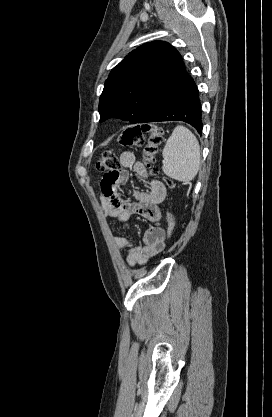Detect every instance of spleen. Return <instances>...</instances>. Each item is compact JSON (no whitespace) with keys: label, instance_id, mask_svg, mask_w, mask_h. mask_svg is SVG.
Returning <instances> with one entry per match:
<instances>
[{"label":"spleen","instance_id":"spleen-1","mask_svg":"<svg viewBox=\"0 0 272 417\" xmlns=\"http://www.w3.org/2000/svg\"><path fill=\"white\" fill-rule=\"evenodd\" d=\"M162 170L170 178L189 182L197 175L201 162L200 146L195 135L178 125L168 138L162 152Z\"/></svg>","mask_w":272,"mask_h":417}]
</instances>
